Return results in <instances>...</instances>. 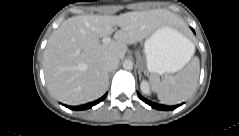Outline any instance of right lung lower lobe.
Here are the masks:
<instances>
[{
  "instance_id": "obj_1",
  "label": "right lung lower lobe",
  "mask_w": 239,
  "mask_h": 136,
  "mask_svg": "<svg viewBox=\"0 0 239 136\" xmlns=\"http://www.w3.org/2000/svg\"><path fill=\"white\" fill-rule=\"evenodd\" d=\"M107 96V94H105L102 98L94 101V102H91V103H88V104H85V105H81V106H67L69 109H73V110H84V109H88V108H91L92 106L100 103L101 101H103L105 99V97Z\"/></svg>"
}]
</instances>
